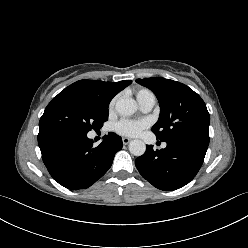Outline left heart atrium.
Listing matches in <instances>:
<instances>
[{"label": "left heart atrium", "mask_w": 248, "mask_h": 248, "mask_svg": "<svg viewBox=\"0 0 248 248\" xmlns=\"http://www.w3.org/2000/svg\"><path fill=\"white\" fill-rule=\"evenodd\" d=\"M147 127L144 120L121 119L115 124V130L125 136H138Z\"/></svg>", "instance_id": "1"}]
</instances>
